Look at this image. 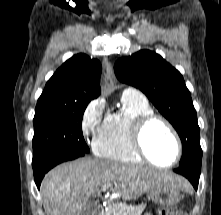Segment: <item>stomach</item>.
<instances>
[{
    "instance_id": "1",
    "label": "stomach",
    "mask_w": 221,
    "mask_h": 215,
    "mask_svg": "<svg viewBox=\"0 0 221 215\" xmlns=\"http://www.w3.org/2000/svg\"><path fill=\"white\" fill-rule=\"evenodd\" d=\"M148 199L160 206H174L181 200L180 189L172 186H161L147 192Z\"/></svg>"
}]
</instances>
